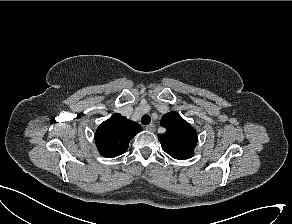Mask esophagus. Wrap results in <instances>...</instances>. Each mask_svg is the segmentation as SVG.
Returning <instances> with one entry per match:
<instances>
[{
  "instance_id": "obj_1",
  "label": "esophagus",
  "mask_w": 292,
  "mask_h": 224,
  "mask_svg": "<svg viewBox=\"0 0 292 224\" xmlns=\"http://www.w3.org/2000/svg\"><path fill=\"white\" fill-rule=\"evenodd\" d=\"M146 130L150 131V132H154L155 131V125L154 124H149L146 126Z\"/></svg>"
}]
</instances>
